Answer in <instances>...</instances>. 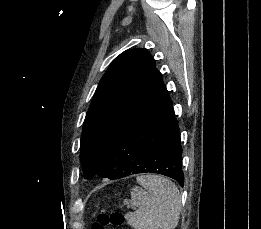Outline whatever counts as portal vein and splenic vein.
Returning a JSON list of instances; mask_svg holds the SVG:
<instances>
[{"mask_svg": "<svg viewBox=\"0 0 261 229\" xmlns=\"http://www.w3.org/2000/svg\"><path fill=\"white\" fill-rule=\"evenodd\" d=\"M132 207H135V204H132Z\"/></svg>", "mask_w": 261, "mask_h": 229, "instance_id": "portal-vein-and-splenic-vein-1", "label": "portal vein and splenic vein"}]
</instances>
